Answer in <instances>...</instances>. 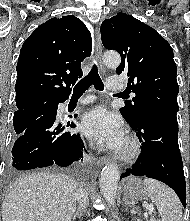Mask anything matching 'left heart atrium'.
<instances>
[{"mask_svg": "<svg viewBox=\"0 0 190 221\" xmlns=\"http://www.w3.org/2000/svg\"><path fill=\"white\" fill-rule=\"evenodd\" d=\"M80 128L88 138L110 149H116L125 137L120 116L104 106L85 113Z\"/></svg>", "mask_w": 190, "mask_h": 221, "instance_id": "39dd6f15", "label": "left heart atrium"}]
</instances>
